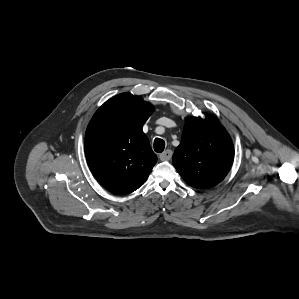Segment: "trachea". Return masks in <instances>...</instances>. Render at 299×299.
Here are the masks:
<instances>
[{
  "mask_svg": "<svg viewBox=\"0 0 299 299\" xmlns=\"http://www.w3.org/2000/svg\"><path fill=\"white\" fill-rule=\"evenodd\" d=\"M164 148H165V141L163 139L156 138L154 140V150L157 153H161L163 152Z\"/></svg>",
  "mask_w": 299,
  "mask_h": 299,
  "instance_id": "obj_1",
  "label": "trachea"
}]
</instances>
